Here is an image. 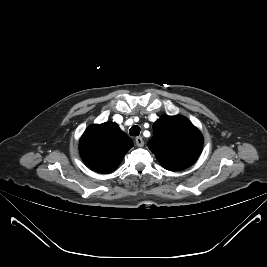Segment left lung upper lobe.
Instances as JSON below:
<instances>
[{"mask_svg":"<svg viewBox=\"0 0 267 267\" xmlns=\"http://www.w3.org/2000/svg\"><path fill=\"white\" fill-rule=\"evenodd\" d=\"M153 130L148 147L165 169L182 170L198 159L203 137L184 116H163L154 123Z\"/></svg>","mask_w":267,"mask_h":267,"instance_id":"5c2ea615","label":"left lung upper lobe"}]
</instances>
